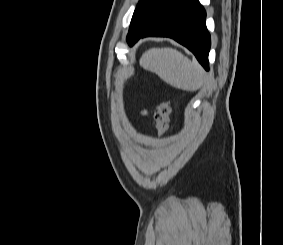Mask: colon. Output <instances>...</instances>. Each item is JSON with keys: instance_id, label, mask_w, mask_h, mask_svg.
Here are the masks:
<instances>
[{"instance_id": "1", "label": "colon", "mask_w": 283, "mask_h": 245, "mask_svg": "<svg viewBox=\"0 0 283 245\" xmlns=\"http://www.w3.org/2000/svg\"><path fill=\"white\" fill-rule=\"evenodd\" d=\"M172 105L169 100H165L157 105L155 110V121L160 135H164L169 129Z\"/></svg>"}]
</instances>
